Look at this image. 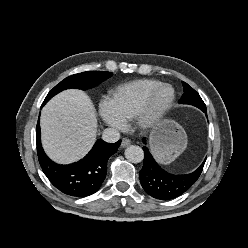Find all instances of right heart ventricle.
I'll return each instance as SVG.
<instances>
[{
	"label": "right heart ventricle",
	"instance_id": "1",
	"mask_svg": "<svg viewBox=\"0 0 248 248\" xmlns=\"http://www.w3.org/2000/svg\"><path fill=\"white\" fill-rule=\"evenodd\" d=\"M159 84L161 82L154 79H138L119 85L111 91V102L124 124L134 120L151 91Z\"/></svg>",
	"mask_w": 248,
	"mask_h": 248
}]
</instances>
